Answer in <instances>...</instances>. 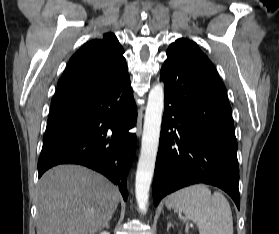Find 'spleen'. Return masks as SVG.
<instances>
[{
  "instance_id": "1",
  "label": "spleen",
  "mask_w": 279,
  "mask_h": 234,
  "mask_svg": "<svg viewBox=\"0 0 279 234\" xmlns=\"http://www.w3.org/2000/svg\"><path fill=\"white\" fill-rule=\"evenodd\" d=\"M169 209L183 211L195 222L200 234H233L230 205L224 195L203 184L193 185L171 194L166 200Z\"/></svg>"
}]
</instances>
